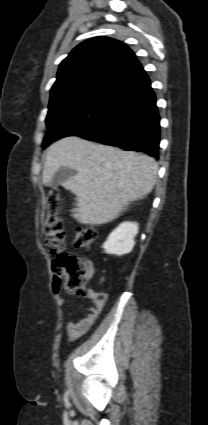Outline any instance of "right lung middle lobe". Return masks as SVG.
Here are the masks:
<instances>
[{
  "mask_svg": "<svg viewBox=\"0 0 208 425\" xmlns=\"http://www.w3.org/2000/svg\"><path fill=\"white\" fill-rule=\"evenodd\" d=\"M103 90L88 89L70 93L66 96L49 102V111L46 117V125H51L61 116L75 112L95 100ZM51 144L49 137H45L42 147Z\"/></svg>",
  "mask_w": 208,
  "mask_h": 425,
  "instance_id": "obj_1",
  "label": "right lung middle lobe"
}]
</instances>
